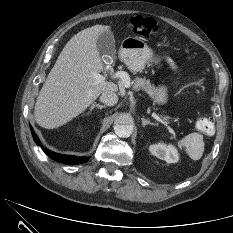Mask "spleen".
I'll use <instances>...</instances> for the list:
<instances>
[{"mask_svg": "<svg viewBox=\"0 0 233 233\" xmlns=\"http://www.w3.org/2000/svg\"><path fill=\"white\" fill-rule=\"evenodd\" d=\"M178 146L184 147L192 160H199L204 152L203 135L196 132L190 133L178 141Z\"/></svg>", "mask_w": 233, "mask_h": 233, "instance_id": "1", "label": "spleen"}]
</instances>
